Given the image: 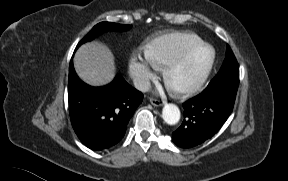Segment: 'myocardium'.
Segmentation results:
<instances>
[{
  "label": "myocardium",
  "instance_id": "1",
  "mask_svg": "<svg viewBox=\"0 0 288 181\" xmlns=\"http://www.w3.org/2000/svg\"><path fill=\"white\" fill-rule=\"evenodd\" d=\"M205 50H209L210 56L207 64L205 65L201 73L190 81L183 83L175 82L174 79L175 76L189 62V60L195 55ZM215 62H216L215 48L209 43H202L196 47L186 50L175 60L167 64L162 72L163 79L165 83L176 93L179 94L192 93L198 90L206 82V80L208 79L213 70Z\"/></svg>",
  "mask_w": 288,
  "mask_h": 181
}]
</instances>
